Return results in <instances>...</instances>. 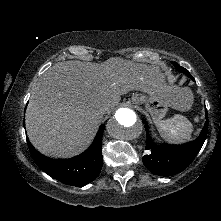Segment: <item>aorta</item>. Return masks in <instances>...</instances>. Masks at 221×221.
<instances>
[{"label":"aorta","mask_w":221,"mask_h":221,"mask_svg":"<svg viewBox=\"0 0 221 221\" xmlns=\"http://www.w3.org/2000/svg\"><path fill=\"white\" fill-rule=\"evenodd\" d=\"M107 132L112 137L128 141L137 138L142 132V125L132 109L120 108L108 120Z\"/></svg>","instance_id":"1"}]
</instances>
